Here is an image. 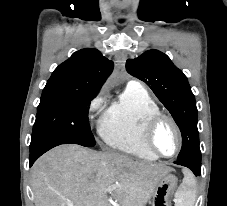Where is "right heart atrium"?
I'll return each mask as SVG.
<instances>
[{
	"instance_id": "1",
	"label": "right heart atrium",
	"mask_w": 227,
	"mask_h": 206,
	"mask_svg": "<svg viewBox=\"0 0 227 206\" xmlns=\"http://www.w3.org/2000/svg\"><path fill=\"white\" fill-rule=\"evenodd\" d=\"M105 92L102 91L96 95L88 106V116L91 121L96 120L100 117L104 107ZM101 122V120H99Z\"/></svg>"
}]
</instances>
